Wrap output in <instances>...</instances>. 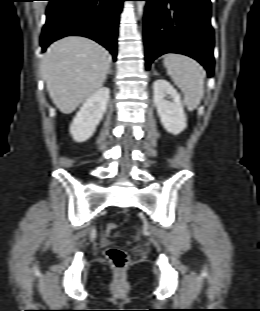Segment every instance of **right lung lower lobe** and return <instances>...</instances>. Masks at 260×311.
Segmentation results:
<instances>
[{
  "mask_svg": "<svg viewBox=\"0 0 260 311\" xmlns=\"http://www.w3.org/2000/svg\"><path fill=\"white\" fill-rule=\"evenodd\" d=\"M46 24L41 35L42 50L69 35L95 40L117 56L119 14L125 0H48Z\"/></svg>",
  "mask_w": 260,
  "mask_h": 311,
  "instance_id": "98d812e1",
  "label": "right lung lower lobe"
}]
</instances>
